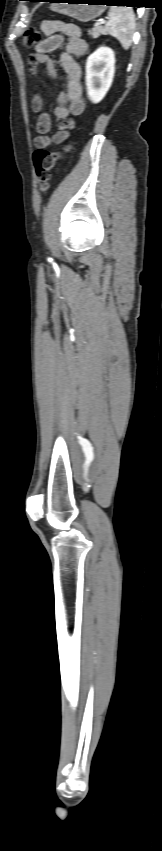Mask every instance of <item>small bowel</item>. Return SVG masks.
Returning <instances> with one entry per match:
<instances>
[{
    "mask_svg": "<svg viewBox=\"0 0 162 851\" xmlns=\"http://www.w3.org/2000/svg\"><path fill=\"white\" fill-rule=\"evenodd\" d=\"M41 29L46 38L35 46V51L28 57V67L32 72L38 64L45 65L52 77L58 76L55 62L49 53L58 49L65 42V52L60 56V65L65 73L67 84L65 91L58 95V103L53 110L59 130L52 136H47L51 129V115L43 111L44 101L37 93L31 101V110L38 113L36 131L39 133L34 139L37 148H46L52 144H62L75 127L73 116L80 115L85 109L82 97L81 76L82 71L75 57H81L88 50L87 42L82 38L78 26L62 20H44Z\"/></svg>",
    "mask_w": 162,
    "mask_h": 851,
    "instance_id": "c3829d8e",
    "label": "small bowel"
}]
</instances>
